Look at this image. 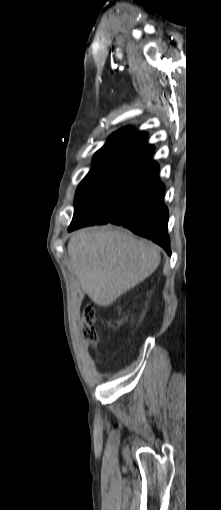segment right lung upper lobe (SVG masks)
Listing matches in <instances>:
<instances>
[{
  "instance_id": "1",
  "label": "right lung upper lobe",
  "mask_w": 221,
  "mask_h": 510,
  "mask_svg": "<svg viewBox=\"0 0 221 510\" xmlns=\"http://www.w3.org/2000/svg\"><path fill=\"white\" fill-rule=\"evenodd\" d=\"M147 134L121 129L113 133L106 144L95 154L104 156L128 151L152 153L154 147L146 142Z\"/></svg>"
}]
</instances>
